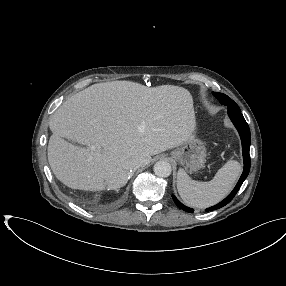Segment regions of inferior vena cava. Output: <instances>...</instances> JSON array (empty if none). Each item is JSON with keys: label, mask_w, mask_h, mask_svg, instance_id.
<instances>
[{"label": "inferior vena cava", "mask_w": 286, "mask_h": 286, "mask_svg": "<svg viewBox=\"0 0 286 286\" xmlns=\"http://www.w3.org/2000/svg\"><path fill=\"white\" fill-rule=\"evenodd\" d=\"M140 166H141L140 162H135L134 165H133V170L137 169Z\"/></svg>", "instance_id": "inferior-vena-cava-1"}]
</instances>
